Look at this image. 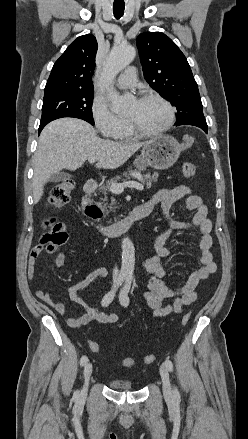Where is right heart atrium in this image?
<instances>
[{
	"instance_id": "obj_1",
	"label": "right heart atrium",
	"mask_w": 248,
	"mask_h": 439,
	"mask_svg": "<svg viewBox=\"0 0 248 439\" xmlns=\"http://www.w3.org/2000/svg\"><path fill=\"white\" fill-rule=\"evenodd\" d=\"M91 115L97 130L105 138H115L126 122L125 119L118 117L111 110L108 102L101 97H94Z\"/></svg>"
}]
</instances>
